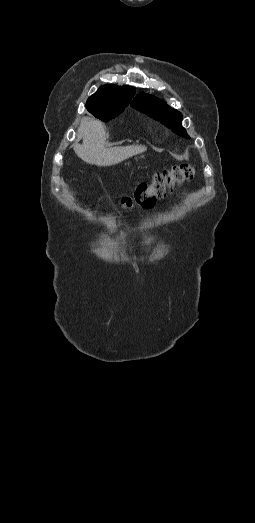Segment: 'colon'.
<instances>
[{
	"label": "colon",
	"mask_w": 255,
	"mask_h": 523,
	"mask_svg": "<svg viewBox=\"0 0 255 523\" xmlns=\"http://www.w3.org/2000/svg\"><path fill=\"white\" fill-rule=\"evenodd\" d=\"M195 174V168L189 164L173 166L168 170L154 175L150 182H141L131 196L121 199L120 205L124 209L134 206L151 208L157 199L166 195L175 185L190 181Z\"/></svg>",
	"instance_id": "1"
}]
</instances>
